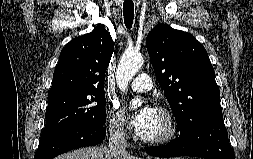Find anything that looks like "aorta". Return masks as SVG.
I'll return each instance as SVG.
<instances>
[{"label":"aorta","mask_w":253,"mask_h":159,"mask_svg":"<svg viewBox=\"0 0 253 159\" xmlns=\"http://www.w3.org/2000/svg\"><path fill=\"white\" fill-rule=\"evenodd\" d=\"M144 63L143 56L138 52L126 51L120 59L116 73L117 85L122 92H125L128 83L135 76ZM141 104L140 99H134L130 108H136Z\"/></svg>","instance_id":"1"}]
</instances>
